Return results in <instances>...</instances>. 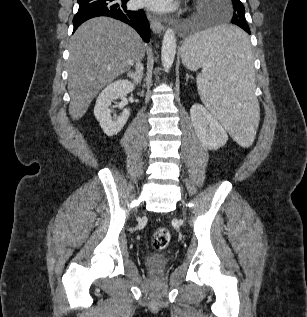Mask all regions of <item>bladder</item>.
Here are the masks:
<instances>
[{"mask_svg": "<svg viewBox=\"0 0 307 317\" xmlns=\"http://www.w3.org/2000/svg\"><path fill=\"white\" fill-rule=\"evenodd\" d=\"M169 263V258L164 254H151L145 259V266L151 270H161Z\"/></svg>", "mask_w": 307, "mask_h": 317, "instance_id": "obj_1", "label": "bladder"}]
</instances>
